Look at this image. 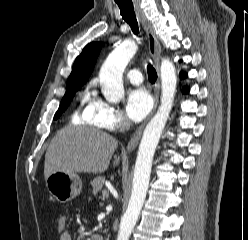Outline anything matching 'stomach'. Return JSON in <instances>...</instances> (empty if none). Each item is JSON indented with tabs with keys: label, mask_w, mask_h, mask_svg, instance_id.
Returning <instances> with one entry per match:
<instances>
[{
	"label": "stomach",
	"mask_w": 248,
	"mask_h": 240,
	"mask_svg": "<svg viewBox=\"0 0 248 240\" xmlns=\"http://www.w3.org/2000/svg\"><path fill=\"white\" fill-rule=\"evenodd\" d=\"M50 194L60 203L74 199L82 190V181L76 173L57 171L46 179Z\"/></svg>",
	"instance_id": "obj_1"
}]
</instances>
